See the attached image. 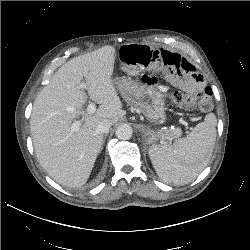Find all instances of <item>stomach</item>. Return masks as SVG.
<instances>
[{"instance_id":"1","label":"stomach","mask_w":250,"mask_h":250,"mask_svg":"<svg viewBox=\"0 0 250 250\" xmlns=\"http://www.w3.org/2000/svg\"><path fill=\"white\" fill-rule=\"evenodd\" d=\"M118 87L123 96L149 119L159 122L164 120L163 90L152 76H143L139 81L119 84ZM180 134L181 131L178 128H166L160 130L156 137L162 140H172L179 137Z\"/></svg>"}]
</instances>
